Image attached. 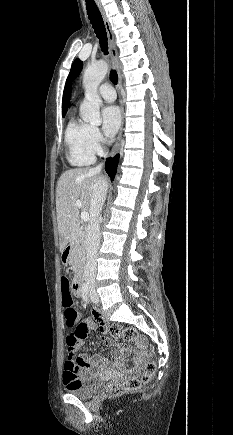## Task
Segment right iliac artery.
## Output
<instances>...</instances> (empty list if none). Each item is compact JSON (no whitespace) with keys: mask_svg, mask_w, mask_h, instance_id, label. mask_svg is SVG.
I'll list each match as a JSON object with an SVG mask.
<instances>
[{"mask_svg":"<svg viewBox=\"0 0 233 435\" xmlns=\"http://www.w3.org/2000/svg\"><path fill=\"white\" fill-rule=\"evenodd\" d=\"M88 294H89V283H85L82 286V296L86 302H88Z\"/></svg>","mask_w":233,"mask_h":435,"instance_id":"right-iliac-artery-1","label":"right iliac artery"}]
</instances>
